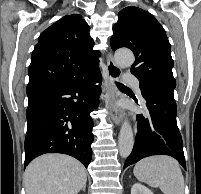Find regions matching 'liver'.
<instances>
[{"label": "liver", "mask_w": 201, "mask_h": 194, "mask_svg": "<svg viewBox=\"0 0 201 194\" xmlns=\"http://www.w3.org/2000/svg\"><path fill=\"white\" fill-rule=\"evenodd\" d=\"M26 194H78L86 185L85 167L63 154L34 159L24 173Z\"/></svg>", "instance_id": "liver-1"}]
</instances>
